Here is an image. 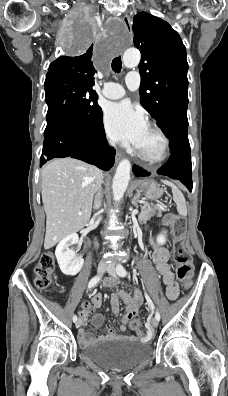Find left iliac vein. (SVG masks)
Listing matches in <instances>:
<instances>
[{"instance_id": "4c4485c4", "label": "left iliac vein", "mask_w": 228, "mask_h": 396, "mask_svg": "<svg viewBox=\"0 0 228 396\" xmlns=\"http://www.w3.org/2000/svg\"><path fill=\"white\" fill-rule=\"evenodd\" d=\"M107 271L112 277L117 278L115 265L113 263L108 265ZM158 323L159 321L155 317L151 319V326L153 328H157Z\"/></svg>"}]
</instances>
